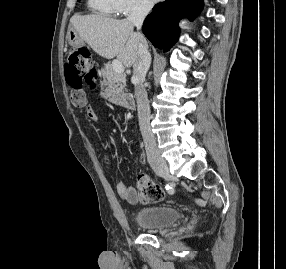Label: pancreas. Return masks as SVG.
<instances>
[{
	"label": "pancreas",
	"mask_w": 286,
	"mask_h": 269,
	"mask_svg": "<svg viewBox=\"0 0 286 269\" xmlns=\"http://www.w3.org/2000/svg\"><path fill=\"white\" fill-rule=\"evenodd\" d=\"M103 81L101 86L104 89L103 95L113 103H118L123 97L126 86V75L123 72H116L112 64H107L101 69Z\"/></svg>",
	"instance_id": "pancreas-1"
}]
</instances>
